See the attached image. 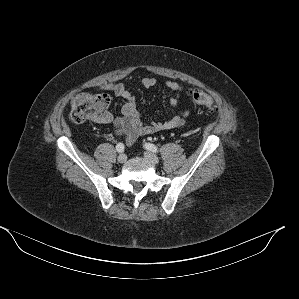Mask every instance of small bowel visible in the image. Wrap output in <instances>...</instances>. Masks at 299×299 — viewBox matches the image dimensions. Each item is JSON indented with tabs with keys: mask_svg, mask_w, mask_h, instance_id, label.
<instances>
[{
	"mask_svg": "<svg viewBox=\"0 0 299 299\" xmlns=\"http://www.w3.org/2000/svg\"><path fill=\"white\" fill-rule=\"evenodd\" d=\"M138 85L144 89H151L157 85V80L153 77L143 78L138 82ZM165 85L171 91L169 104L175 110L167 120L144 122L137 112L135 97L129 86L121 82H110L102 84L99 90L111 92L123 99L122 115L115 117L112 111H106L97 119V122L101 124L113 122L116 135L123 136L128 144L142 135L184 126L192 111L191 108L183 111L177 110L184 87L180 83L170 80L166 81Z\"/></svg>",
	"mask_w": 299,
	"mask_h": 299,
	"instance_id": "small-bowel-1",
	"label": "small bowel"
}]
</instances>
